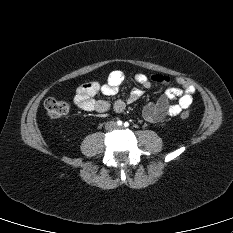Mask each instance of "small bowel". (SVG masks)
<instances>
[{"mask_svg": "<svg viewBox=\"0 0 233 233\" xmlns=\"http://www.w3.org/2000/svg\"><path fill=\"white\" fill-rule=\"evenodd\" d=\"M123 81V72L114 70L109 74L105 83L97 81L84 83L76 89L74 103L83 111L105 113L109 110L110 103L102 99L96 100L94 97L99 93L105 96L115 95ZM135 81L145 88H150L153 82L168 83L169 79L162 75L149 76L139 73L135 75ZM176 83L179 87H168L156 103L149 102L142 107V115L147 121L158 123L168 116H177L190 107L196 91L195 87L183 77L176 78ZM142 94L141 89L134 88L126 101L117 100L114 102V111L117 113L122 112L127 103L137 101ZM174 100L177 102L170 104V101Z\"/></svg>", "mask_w": 233, "mask_h": 233, "instance_id": "1", "label": "small bowel"}]
</instances>
